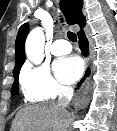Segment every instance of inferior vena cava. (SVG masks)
Wrapping results in <instances>:
<instances>
[{"label":"inferior vena cava","instance_id":"obj_1","mask_svg":"<svg viewBox=\"0 0 117 131\" xmlns=\"http://www.w3.org/2000/svg\"><path fill=\"white\" fill-rule=\"evenodd\" d=\"M73 88L70 86H60L58 105L66 108L73 97Z\"/></svg>","mask_w":117,"mask_h":131}]
</instances>
